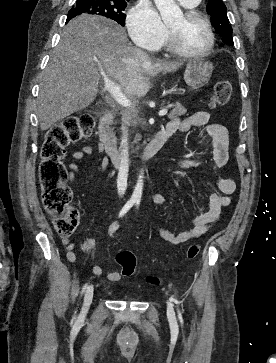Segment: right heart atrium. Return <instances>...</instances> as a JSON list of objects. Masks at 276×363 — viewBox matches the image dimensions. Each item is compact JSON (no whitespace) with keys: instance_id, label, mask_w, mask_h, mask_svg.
<instances>
[{"instance_id":"d8ad5b80","label":"right heart atrium","mask_w":276,"mask_h":363,"mask_svg":"<svg viewBox=\"0 0 276 363\" xmlns=\"http://www.w3.org/2000/svg\"><path fill=\"white\" fill-rule=\"evenodd\" d=\"M127 26L133 41L148 50L160 49L169 35L159 13L147 0H140L129 11Z\"/></svg>"}]
</instances>
